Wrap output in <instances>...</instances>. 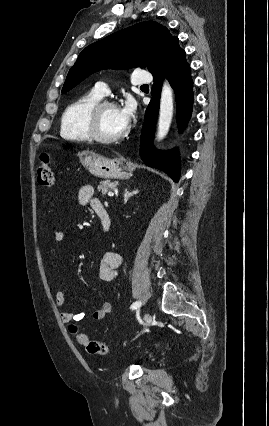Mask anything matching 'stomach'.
Listing matches in <instances>:
<instances>
[{
  "instance_id": "obj_1",
  "label": "stomach",
  "mask_w": 269,
  "mask_h": 426,
  "mask_svg": "<svg viewBox=\"0 0 269 426\" xmlns=\"http://www.w3.org/2000/svg\"><path fill=\"white\" fill-rule=\"evenodd\" d=\"M82 165L94 176L105 179H129L132 169L123 158L107 159L91 151L78 153Z\"/></svg>"
}]
</instances>
